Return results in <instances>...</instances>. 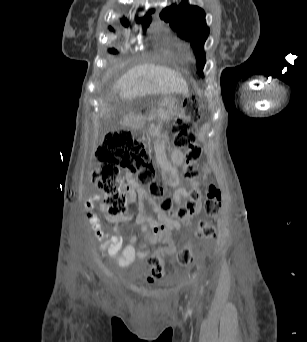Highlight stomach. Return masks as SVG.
I'll return each instance as SVG.
<instances>
[{
	"instance_id": "stomach-1",
	"label": "stomach",
	"mask_w": 307,
	"mask_h": 342,
	"mask_svg": "<svg viewBox=\"0 0 307 342\" xmlns=\"http://www.w3.org/2000/svg\"><path fill=\"white\" fill-rule=\"evenodd\" d=\"M179 109V100L175 98H165L157 109V115L160 120L168 121L174 117ZM144 124L142 116L133 118V126L140 128Z\"/></svg>"
}]
</instances>
